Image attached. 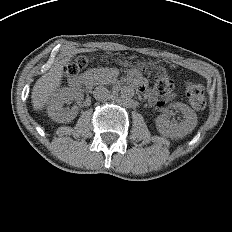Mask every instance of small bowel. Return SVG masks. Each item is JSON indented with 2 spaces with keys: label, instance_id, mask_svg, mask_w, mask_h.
Instances as JSON below:
<instances>
[{
  "label": "small bowel",
  "instance_id": "obj_1",
  "mask_svg": "<svg viewBox=\"0 0 232 232\" xmlns=\"http://www.w3.org/2000/svg\"><path fill=\"white\" fill-rule=\"evenodd\" d=\"M140 88L145 93V95L148 98L150 103L156 102V98H155L154 93L148 90L147 85L144 81L140 82Z\"/></svg>",
  "mask_w": 232,
  "mask_h": 232
}]
</instances>
